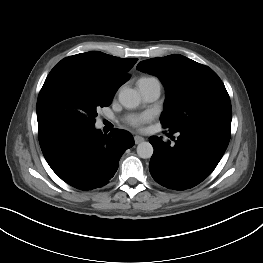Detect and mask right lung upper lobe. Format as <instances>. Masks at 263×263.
<instances>
[{"mask_svg":"<svg viewBox=\"0 0 263 263\" xmlns=\"http://www.w3.org/2000/svg\"><path fill=\"white\" fill-rule=\"evenodd\" d=\"M138 59H122L99 51L76 54L61 60L50 73L77 70L104 80L110 87L117 89L130 77L126 74Z\"/></svg>","mask_w":263,"mask_h":263,"instance_id":"obj_1","label":"right lung upper lobe"}]
</instances>
